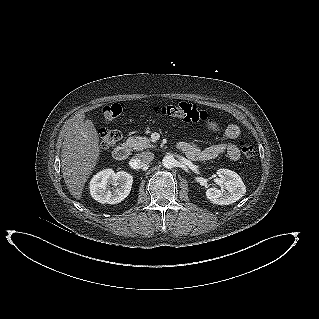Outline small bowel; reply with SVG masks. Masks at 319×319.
<instances>
[{
    "mask_svg": "<svg viewBox=\"0 0 319 319\" xmlns=\"http://www.w3.org/2000/svg\"><path fill=\"white\" fill-rule=\"evenodd\" d=\"M209 128L212 130L219 129L214 123H210ZM222 132L224 137L228 140L227 142L211 145L204 149H201L194 143H181L185 155L189 159L200 163L215 159L221 155H226L232 161L239 160L241 151L234 141L240 137V128L235 124H230L226 126Z\"/></svg>",
    "mask_w": 319,
    "mask_h": 319,
    "instance_id": "obj_1",
    "label": "small bowel"
}]
</instances>
